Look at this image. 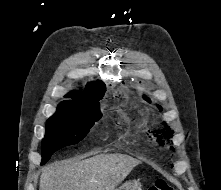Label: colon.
Here are the masks:
<instances>
[{
  "label": "colon",
  "mask_w": 221,
  "mask_h": 190,
  "mask_svg": "<svg viewBox=\"0 0 221 190\" xmlns=\"http://www.w3.org/2000/svg\"><path fill=\"white\" fill-rule=\"evenodd\" d=\"M148 190H173V189L164 179H158L148 188Z\"/></svg>",
  "instance_id": "1"
}]
</instances>
